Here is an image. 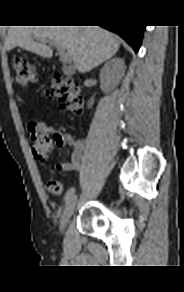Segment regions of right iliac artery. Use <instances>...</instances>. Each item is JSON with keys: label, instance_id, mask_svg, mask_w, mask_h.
Listing matches in <instances>:
<instances>
[{"label": "right iliac artery", "instance_id": "1", "mask_svg": "<svg viewBox=\"0 0 184 292\" xmlns=\"http://www.w3.org/2000/svg\"><path fill=\"white\" fill-rule=\"evenodd\" d=\"M74 192L75 188H70L65 194L64 201L67 202L74 195Z\"/></svg>", "mask_w": 184, "mask_h": 292}]
</instances>
